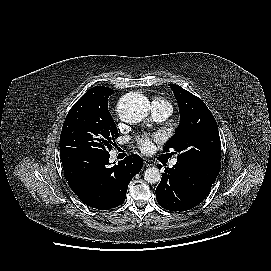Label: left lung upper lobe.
Returning a JSON list of instances; mask_svg holds the SVG:
<instances>
[{
    "mask_svg": "<svg viewBox=\"0 0 271 271\" xmlns=\"http://www.w3.org/2000/svg\"><path fill=\"white\" fill-rule=\"evenodd\" d=\"M169 86L178 102L180 123L164 150L178 152L177 165L214 183L221 167V141L215 118L200 98L179 85Z\"/></svg>",
    "mask_w": 271,
    "mask_h": 271,
    "instance_id": "left-lung-upper-lobe-1",
    "label": "left lung upper lobe"
}]
</instances>
